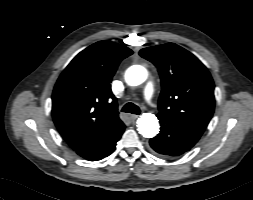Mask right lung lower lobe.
<instances>
[{
	"label": "right lung lower lobe",
	"instance_id": "right-lung-lower-lobe-1",
	"mask_svg": "<svg viewBox=\"0 0 253 200\" xmlns=\"http://www.w3.org/2000/svg\"><path fill=\"white\" fill-rule=\"evenodd\" d=\"M124 129L125 125L123 124L99 142L76 150L77 154L89 161H96L107 157L115 149V145L121 138Z\"/></svg>",
	"mask_w": 253,
	"mask_h": 200
}]
</instances>
